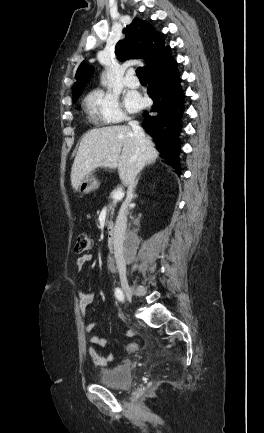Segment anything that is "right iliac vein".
Returning <instances> with one entry per match:
<instances>
[{
	"label": "right iliac vein",
	"instance_id": "right-iliac-vein-1",
	"mask_svg": "<svg viewBox=\"0 0 264 433\" xmlns=\"http://www.w3.org/2000/svg\"><path fill=\"white\" fill-rule=\"evenodd\" d=\"M120 282H121L122 290H123V292H124L127 300L129 302H131L132 301V290H131V288H130V286L128 284L127 279L126 278H121Z\"/></svg>",
	"mask_w": 264,
	"mask_h": 433
}]
</instances>
